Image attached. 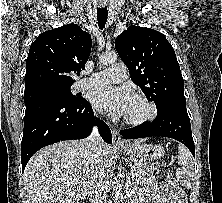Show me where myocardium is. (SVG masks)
<instances>
[{
  "mask_svg": "<svg viewBox=\"0 0 222 203\" xmlns=\"http://www.w3.org/2000/svg\"><path fill=\"white\" fill-rule=\"evenodd\" d=\"M133 99L142 102L146 106L147 112L145 115H143L142 117H139V118L125 117L124 118L125 123L132 125V126H140V125L150 122L151 120H153L156 117L157 108L146 96L141 95V94H135L133 96Z\"/></svg>",
  "mask_w": 222,
  "mask_h": 203,
  "instance_id": "f54148a6",
  "label": "myocardium"
}]
</instances>
